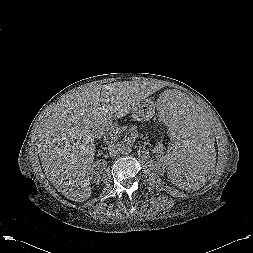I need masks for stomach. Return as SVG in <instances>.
<instances>
[{
    "label": "stomach",
    "mask_w": 253,
    "mask_h": 253,
    "mask_svg": "<svg viewBox=\"0 0 253 253\" xmlns=\"http://www.w3.org/2000/svg\"><path fill=\"white\" fill-rule=\"evenodd\" d=\"M154 114L155 108L150 102H142L132 111V116L137 121H148Z\"/></svg>",
    "instance_id": "1"
}]
</instances>
